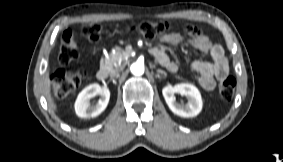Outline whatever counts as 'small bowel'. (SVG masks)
<instances>
[{
  "label": "small bowel",
  "instance_id": "c3829d8e",
  "mask_svg": "<svg viewBox=\"0 0 283 162\" xmlns=\"http://www.w3.org/2000/svg\"><path fill=\"white\" fill-rule=\"evenodd\" d=\"M183 41H186L198 51L208 53L211 56L212 62L197 60L192 63L191 67L197 74V81L203 89H214L216 82L226 78L229 73V63L223 48L214 44L208 36L192 26L187 27L184 34L170 32L161 37V42L165 44L177 45ZM152 52L162 66L171 72L177 70L176 63L169 58L162 48L156 47Z\"/></svg>",
  "mask_w": 283,
  "mask_h": 162
}]
</instances>
